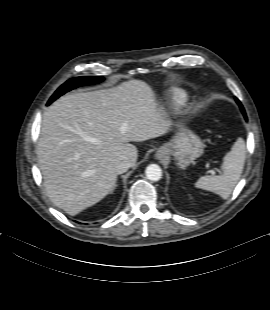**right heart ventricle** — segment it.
Returning <instances> with one entry per match:
<instances>
[{
	"mask_svg": "<svg viewBox=\"0 0 270 310\" xmlns=\"http://www.w3.org/2000/svg\"><path fill=\"white\" fill-rule=\"evenodd\" d=\"M188 98V94L185 90L183 89H176L172 92L169 101L170 104L177 108L181 106Z\"/></svg>",
	"mask_w": 270,
	"mask_h": 310,
	"instance_id": "obj_1",
	"label": "right heart ventricle"
}]
</instances>
